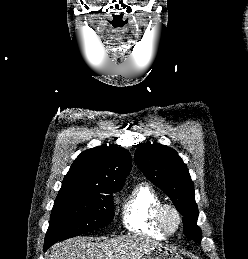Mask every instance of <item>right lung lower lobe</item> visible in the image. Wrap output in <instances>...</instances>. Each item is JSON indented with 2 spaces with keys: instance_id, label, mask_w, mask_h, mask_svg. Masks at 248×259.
<instances>
[{
  "instance_id": "obj_1",
  "label": "right lung lower lobe",
  "mask_w": 248,
  "mask_h": 259,
  "mask_svg": "<svg viewBox=\"0 0 248 259\" xmlns=\"http://www.w3.org/2000/svg\"><path fill=\"white\" fill-rule=\"evenodd\" d=\"M51 245H52V243H50V242H45V243H44V251H46Z\"/></svg>"
}]
</instances>
